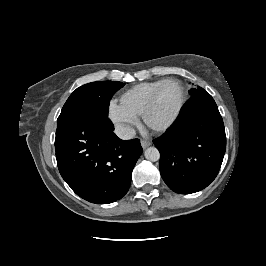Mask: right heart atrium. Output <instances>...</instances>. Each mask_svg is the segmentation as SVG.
<instances>
[{
    "mask_svg": "<svg viewBox=\"0 0 266 266\" xmlns=\"http://www.w3.org/2000/svg\"><path fill=\"white\" fill-rule=\"evenodd\" d=\"M108 116L117 128L126 133L138 123L137 116L114 99L108 104Z\"/></svg>",
    "mask_w": 266,
    "mask_h": 266,
    "instance_id": "obj_1",
    "label": "right heart atrium"
}]
</instances>
